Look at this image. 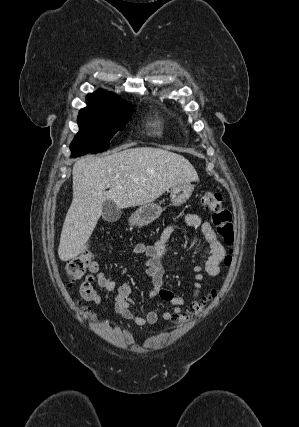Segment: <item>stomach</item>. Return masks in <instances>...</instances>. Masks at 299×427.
<instances>
[{"instance_id":"0dacf381","label":"stomach","mask_w":299,"mask_h":427,"mask_svg":"<svg viewBox=\"0 0 299 427\" xmlns=\"http://www.w3.org/2000/svg\"><path fill=\"white\" fill-rule=\"evenodd\" d=\"M194 186L190 182L177 184L171 188L170 198L173 206H181L191 197ZM162 213V208L156 203H148L138 208L130 217V223L145 226L155 221Z\"/></svg>"}]
</instances>
